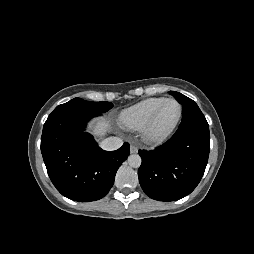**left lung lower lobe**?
I'll list each match as a JSON object with an SVG mask.
<instances>
[{"label":"left lung lower lobe","mask_w":254,"mask_h":254,"mask_svg":"<svg viewBox=\"0 0 254 254\" xmlns=\"http://www.w3.org/2000/svg\"><path fill=\"white\" fill-rule=\"evenodd\" d=\"M209 150L208 123L178 127L155 150H139L142 164L138 176L143 191L159 201H175L190 194L204 174Z\"/></svg>","instance_id":"1"}]
</instances>
